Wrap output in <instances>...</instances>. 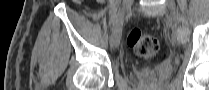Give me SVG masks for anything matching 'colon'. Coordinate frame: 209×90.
<instances>
[{"label":"colon","mask_w":209,"mask_h":90,"mask_svg":"<svg viewBox=\"0 0 209 90\" xmlns=\"http://www.w3.org/2000/svg\"><path fill=\"white\" fill-rule=\"evenodd\" d=\"M127 44L135 53L143 58H153L159 52V43L155 37L143 33L138 28L130 29L127 33Z\"/></svg>","instance_id":"5ec220e1"}]
</instances>
